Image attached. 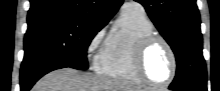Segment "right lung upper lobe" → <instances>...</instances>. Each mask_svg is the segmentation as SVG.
Here are the masks:
<instances>
[{"label": "right lung upper lobe", "mask_w": 220, "mask_h": 91, "mask_svg": "<svg viewBox=\"0 0 220 91\" xmlns=\"http://www.w3.org/2000/svg\"><path fill=\"white\" fill-rule=\"evenodd\" d=\"M27 22L33 24L53 19L87 21L105 26L123 0H31Z\"/></svg>", "instance_id": "1"}]
</instances>
